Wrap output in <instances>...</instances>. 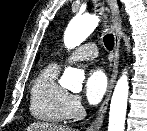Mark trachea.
<instances>
[{
  "instance_id": "obj_1",
  "label": "trachea",
  "mask_w": 147,
  "mask_h": 131,
  "mask_svg": "<svg viewBox=\"0 0 147 131\" xmlns=\"http://www.w3.org/2000/svg\"><path fill=\"white\" fill-rule=\"evenodd\" d=\"M103 42L108 50H112L114 46V36L112 34H106L103 38Z\"/></svg>"
}]
</instances>
